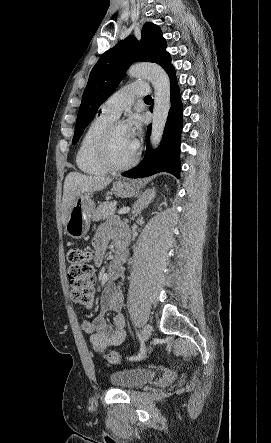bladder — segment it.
<instances>
[{"instance_id": "31cf9c89", "label": "bladder", "mask_w": 271, "mask_h": 443, "mask_svg": "<svg viewBox=\"0 0 271 443\" xmlns=\"http://www.w3.org/2000/svg\"><path fill=\"white\" fill-rule=\"evenodd\" d=\"M155 373L146 368H127L111 373L110 383L119 389H136L151 381Z\"/></svg>"}]
</instances>
